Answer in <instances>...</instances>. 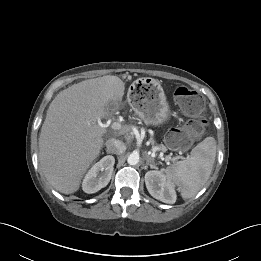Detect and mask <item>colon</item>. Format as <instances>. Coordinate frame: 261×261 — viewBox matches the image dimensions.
<instances>
[{"instance_id": "colon-1", "label": "colon", "mask_w": 261, "mask_h": 261, "mask_svg": "<svg viewBox=\"0 0 261 261\" xmlns=\"http://www.w3.org/2000/svg\"><path fill=\"white\" fill-rule=\"evenodd\" d=\"M174 96L181 111L191 118L184 126L170 131L166 141L172 148H183L204 134L206 128V121L202 116L204 101L196 91L187 87H178Z\"/></svg>"}]
</instances>
